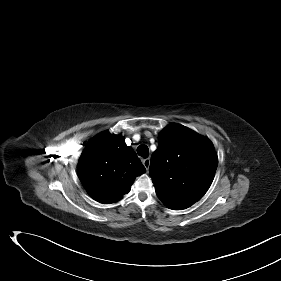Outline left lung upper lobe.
Wrapping results in <instances>:
<instances>
[{"instance_id":"5c2ea615","label":"left lung upper lobe","mask_w":281,"mask_h":281,"mask_svg":"<svg viewBox=\"0 0 281 281\" xmlns=\"http://www.w3.org/2000/svg\"><path fill=\"white\" fill-rule=\"evenodd\" d=\"M218 159L212 142L193 130L172 123L158 136L151 157L150 177L159 199L181 210L200 200L209 189Z\"/></svg>"}]
</instances>
